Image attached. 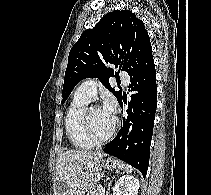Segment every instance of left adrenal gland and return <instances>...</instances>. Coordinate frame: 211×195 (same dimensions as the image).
<instances>
[{"instance_id":"1","label":"left adrenal gland","mask_w":211,"mask_h":195,"mask_svg":"<svg viewBox=\"0 0 211 195\" xmlns=\"http://www.w3.org/2000/svg\"><path fill=\"white\" fill-rule=\"evenodd\" d=\"M110 184H111V181H110ZM109 191H110V186H108V189L106 191V195H108Z\"/></svg>"}]
</instances>
